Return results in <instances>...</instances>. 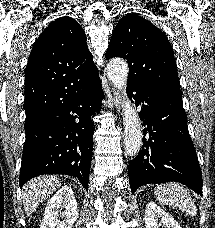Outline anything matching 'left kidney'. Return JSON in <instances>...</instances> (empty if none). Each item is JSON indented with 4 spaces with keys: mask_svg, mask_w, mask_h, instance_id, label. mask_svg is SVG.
Returning <instances> with one entry per match:
<instances>
[{
    "mask_svg": "<svg viewBox=\"0 0 215 228\" xmlns=\"http://www.w3.org/2000/svg\"><path fill=\"white\" fill-rule=\"evenodd\" d=\"M145 228H181L180 224L166 214L154 202H148L145 208Z\"/></svg>",
    "mask_w": 215,
    "mask_h": 228,
    "instance_id": "left-kidney-1",
    "label": "left kidney"
}]
</instances>
